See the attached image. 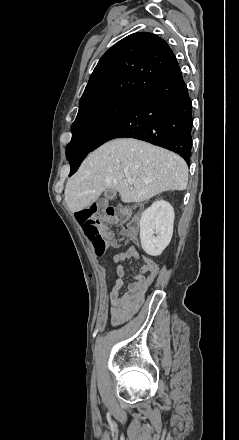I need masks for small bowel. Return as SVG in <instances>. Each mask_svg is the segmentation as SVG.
<instances>
[{"label": "small bowel", "instance_id": "obj_1", "mask_svg": "<svg viewBox=\"0 0 239 440\" xmlns=\"http://www.w3.org/2000/svg\"><path fill=\"white\" fill-rule=\"evenodd\" d=\"M139 249L137 245L130 246L127 250L117 253L114 262L118 264L116 276L110 291L111 308L109 311L113 325H119L129 320L140 308L144 301L146 292L154 282L159 267L149 256L143 255L144 264L140 268V274L133 277V281L128 285L127 291L121 294L124 282V269L121 263L130 259H139Z\"/></svg>", "mask_w": 239, "mask_h": 440}]
</instances>
